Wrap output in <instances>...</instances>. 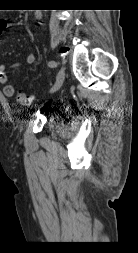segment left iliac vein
<instances>
[{
  "instance_id": "4c4485c4",
  "label": "left iliac vein",
  "mask_w": 138,
  "mask_h": 253,
  "mask_svg": "<svg viewBox=\"0 0 138 253\" xmlns=\"http://www.w3.org/2000/svg\"><path fill=\"white\" fill-rule=\"evenodd\" d=\"M64 80H65V71H64L63 66H61L56 76V82L53 88L50 90V92L53 93L59 90L62 87Z\"/></svg>"
}]
</instances>
